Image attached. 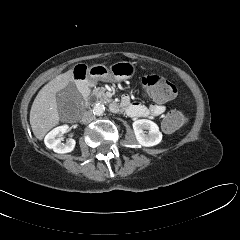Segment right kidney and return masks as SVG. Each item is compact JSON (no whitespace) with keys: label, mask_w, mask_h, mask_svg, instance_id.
Segmentation results:
<instances>
[{"label":"right kidney","mask_w":240,"mask_h":240,"mask_svg":"<svg viewBox=\"0 0 240 240\" xmlns=\"http://www.w3.org/2000/svg\"><path fill=\"white\" fill-rule=\"evenodd\" d=\"M68 125H62L51 130L44 139V143L47 148L53 149L54 152L64 154L73 151L76 141L74 139H68L65 143L61 142L58 135L68 132Z\"/></svg>","instance_id":"obj_1"}]
</instances>
